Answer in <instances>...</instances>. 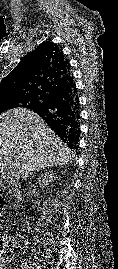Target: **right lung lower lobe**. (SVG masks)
I'll return each instance as SVG.
<instances>
[{"mask_svg": "<svg viewBox=\"0 0 118 269\" xmlns=\"http://www.w3.org/2000/svg\"><path fill=\"white\" fill-rule=\"evenodd\" d=\"M31 110L42 118L44 116L45 121L47 120L50 124V128L69 148L78 149L80 115L75 83L54 94L45 104L31 108Z\"/></svg>", "mask_w": 118, "mask_h": 269, "instance_id": "obj_1", "label": "right lung lower lobe"}]
</instances>
